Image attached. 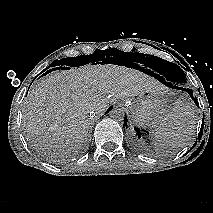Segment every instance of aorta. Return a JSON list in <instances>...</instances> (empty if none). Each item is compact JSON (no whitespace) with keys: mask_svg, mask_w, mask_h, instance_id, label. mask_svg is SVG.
Returning a JSON list of instances; mask_svg holds the SVG:
<instances>
[{"mask_svg":"<svg viewBox=\"0 0 213 213\" xmlns=\"http://www.w3.org/2000/svg\"><path fill=\"white\" fill-rule=\"evenodd\" d=\"M110 117L118 122H123L125 118V112L122 108H114L110 111Z\"/></svg>","mask_w":213,"mask_h":213,"instance_id":"762f6f07","label":"aorta"}]
</instances>
